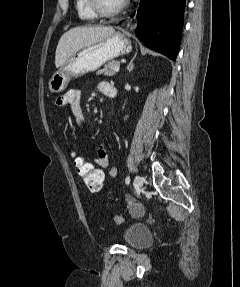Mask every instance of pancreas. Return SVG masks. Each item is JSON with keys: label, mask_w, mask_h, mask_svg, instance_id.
<instances>
[{"label": "pancreas", "mask_w": 240, "mask_h": 287, "mask_svg": "<svg viewBox=\"0 0 240 287\" xmlns=\"http://www.w3.org/2000/svg\"><path fill=\"white\" fill-rule=\"evenodd\" d=\"M116 66H120V62L119 61H110L107 64L104 65V68L98 71V74H104L107 76H113L115 75V71L114 68Z\"/></svg>", "instance_id": "obj_1"}]
</instances>
